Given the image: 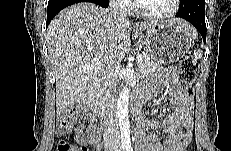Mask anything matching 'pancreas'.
<instances>
[{
	"label": "pancreas",
	"mask_w": 231,
	"mask_h": 151,
	"mask_svg": "<svg viewBox=\"0 0 231 151\" xmlns=\"http://www.w3.org/2000/svg\"><path fill=\"white\" fill-rule=\"evenodd\" d=\"M160 69V63L152 60L146 53L142 61H138L137 70L141 74H150ZM108 93L106 85L100 91V101L104 100V96Z\"/></svg>",
	"instance_id": "1"
}]
</instances>
